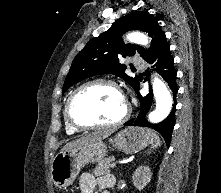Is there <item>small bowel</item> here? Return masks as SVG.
Wrapping results in <instances>:
<instances>
[{"mask_svg":"<svg viewBox=\"0 0 221 193\" xmlns=\"http://www.w3.org/2000/svg\"><path fill=\"white\" fill-rule=\"evenodd\" d=\"M114 184V179L111 176L95 177L91 173H82L80 176L81 193H94L96 188L101 190V193H109L108 189Z\"/></svg>","mask_w":221,"mask_h":193,"instance_id":"small-bowel-1","label":"small bowel"}]
</instances>
